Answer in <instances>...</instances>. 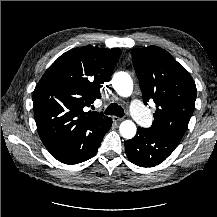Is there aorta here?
<instances>
[{"label":"aorta","mask_w":217,"mask_h":217,"mask_svg":"<svg viewBox=\"0 0 217 217\" xmlns=\"http://www.w3.org/2000/svg\"><path fill=\"white\" fill-rule=\"evenodd\" d=\"M112 86L114 90L122 97H128L133 91V82L131 76L127 72H117L112 78ZM120 134L125 139H132L136 135V125L131 120H125L120 124Z\"/></svg>","instance_id":"762f6f07"}]
</instances>
